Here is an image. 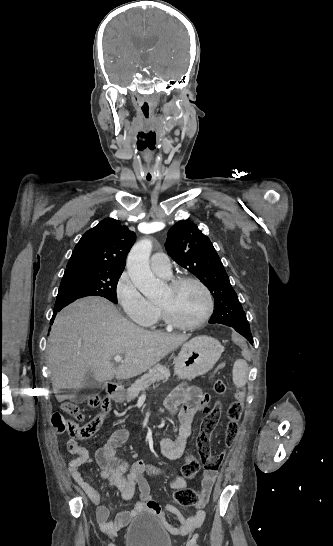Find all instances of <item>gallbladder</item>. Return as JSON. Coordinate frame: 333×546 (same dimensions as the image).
<instances>
[{"label": "gallbladder", "instance_id": "gallbladder-1", "mask_svg": "<svg viewBox=\"0 0 333 546\" xmlns=\"http://www.w3.org/2000/svg\"><path fill=\"white\" fill-rule=\"evenodd\" d=\"M105 387L104 382H98L95 380L92 372H88L84 376V387L83 389L86 391V394L78 395L73 398V400L77 403L82 402L87 396L96 394L97 392L103 390Z\"/></svg>", "mask_w": 333, "mask_h": 546}]
</instances>
